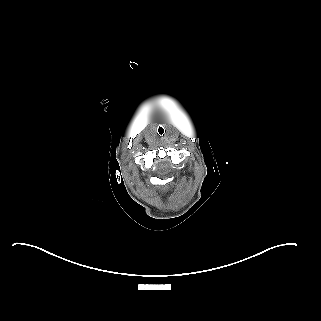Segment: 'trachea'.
<instances>
[{
  "label": "trachea",
  "instance_id": "3493384b",
  "mask_svg": "<svg viewBox=\"0 0 321 321\" xmlns=\"http://www.w3.org/2000/svg\"><path fill=\"white\" fill-rule=\"evenodd\" d=\"M157 131L160 133L159 135L162 137L165 133L163 132L164 131V128L162 126H159L157 128Z\"/></svg>",
  "mask_w": 321,
  "mask_h": 321
}]
</instances>
